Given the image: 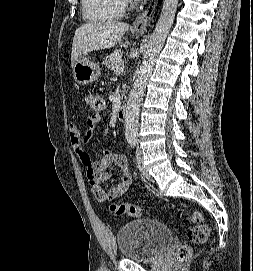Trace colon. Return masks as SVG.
I'll list each match as a JSON object with an SVG mask.
<instances>
[{"mask_svg": "<svg viewBox=\"0 0 253 271\" xmlns=\"http://www.w3.org/2000/svg\"><path fill=\"white\" fill-rule=\"evenodd\" d=\"M87 102L95 113H100L104 107V99L98 93H89L87 95ZM111 211L118 215H127L130 217H139L141 214L139 206L129 203L112 204ZM187 217L192 224L186 232L187 241L193 244L206 242L209 236V228L204 223L202 214L198 211H192L187 214ZM190 254V245L181 244L177 249L176 258L179 261H184L190 256Z\"/></svg>", "mask_w": 253, "mask_h": 271, "instance_id": "1", "label": "colon"}]
</instances>
